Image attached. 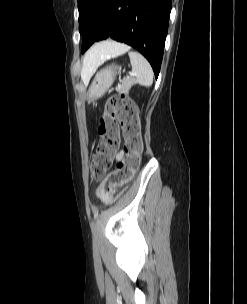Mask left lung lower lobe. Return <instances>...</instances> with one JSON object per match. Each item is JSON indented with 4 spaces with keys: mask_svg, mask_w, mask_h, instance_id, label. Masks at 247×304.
Here are the masks:
<instances>
[{
    "mask_svg": "<svg viewBox=\"0 0 247 304\" xmlns=\"http://www.w3.org/2000/svg\"><path fill=\"white\" fill-rule=\"evenodd\" d=\"M172 0H107L98 20L83 34L82 53L95 41L111 37L143 54L155 77L160 72Z\"/></svg>",
    "mask_w": 247,
    "mask_h": 304,
    "instance_id": "1",
    "label": "left lung lower lobe"
}]
</instances>
